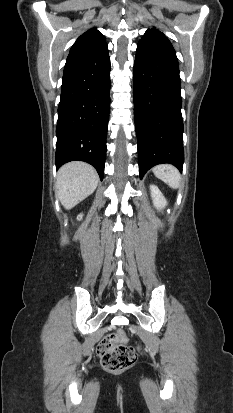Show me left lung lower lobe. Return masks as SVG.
Segmentation results:
<instances>
[{
	"instance_id": "left-lung-lower-lobe-1",
	"label": "left lung lower lobe",
	"mask_w": 233,
	"mask_h": 413,
	"mask_svg": "<svg viewBox=\"0 0 233 413\" xmlns=\"http://www.w3.org/2000/svg\"><path fill=\"white\" fill-rule=\"evenodd\" d=\"M134 118L139 174L184 162L181 86L176 53L160 31L145 33L137 46L133 71Z\"/></svg>"
}]
</instances>
